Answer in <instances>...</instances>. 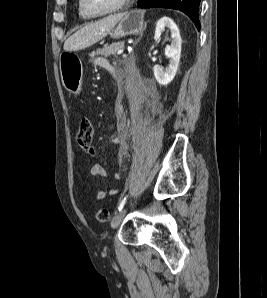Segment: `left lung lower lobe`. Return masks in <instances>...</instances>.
I'll return each mask as SVG.
<instances>
[{"instance_id": "obj_1", "label": "left lung lower lobe", "mask_w": 267, "mask_h": 298, "mask_svg": "<svg viewBox=\"0 0 267 298\" xmlns=\"http://www.w3.org/2000/svg\"><path fill=\"white\" fill-rule=\"evenodd\" d=\"M200 0H138L139 8H171L184 12L200 29L198 8Z\"/></svg>"}]
</instances>
